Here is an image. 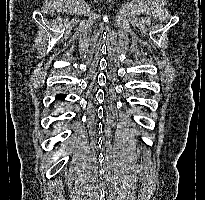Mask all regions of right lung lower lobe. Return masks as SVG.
<instances>
[{
	"label": "right lung lower lobe",
	"instance_id": "obj_1",
	"mask_svg": "<svg viewBox=\"0 0 205 200\" xmlns=\"http://www.w3.org/2000/svg\"><path fill=\"white\" fill-rule=\"evenodd\" d=\"M57 97H58V99L63 100L65 98V95L60 94Z\"/></svg>",
	"mask_w": 205,
	"mask_h": 200
}]
</instances>
